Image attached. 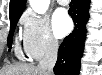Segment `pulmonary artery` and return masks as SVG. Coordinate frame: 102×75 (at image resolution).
<instances>
[{
	"label": "pulmonary artery",
	"mask_w": 102,
	"mask_h": 75,
	"mask_svg": "<svg viewBox=\"0 0 102 75\" xmlns=\"http://www.w3.org/2000/svg\"><path fill=\"white\" fill-rule=\"evenodd\" d=\"M59 3L64 4L66 0H58Z\"/></svg>",
	"instance_id": "e3ab8cb5"
}]
</instances>
